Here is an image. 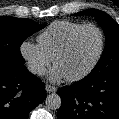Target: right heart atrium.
<instances>
[{
    "label": "right heart atrium",
    "mask_w": 119,
    "mask_h": 119,
    "mask_svg": "<svg viewBox=\"0 0 119 119\" xmlns=\"http://www.w3.org/2000/svg\"><path fill=\"white\" fill-rule=\"evenodd\" d=\"M20 53L30 72L35 75H42L52 62V58L44 52L40 45L31 41H24L21 44Z\"/></svg>",
    "instance_id": "1"
}]
</instances>
